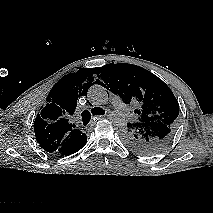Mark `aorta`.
Returning <instances> with one entry per match:
<instances>
[{
    "label": "aorta",
    "instance_id": "aorta-1",
    "mask_svg": "<svg viewBox=\"0 0 213 213\" xmlns=\"http://www.w3.org/2000/svg\"><path fill=\"white\" fill-rule=\"evenodd\" d=\"M87 95L94 105L100 106L108 103V93L101 85L91 86ZM110 120L118 126H125L126 124L123 114L118 110H114L110 113Z\"/></svg>",
    "mask_w": 213,
    "mask_h": 213
}]
</instances>
